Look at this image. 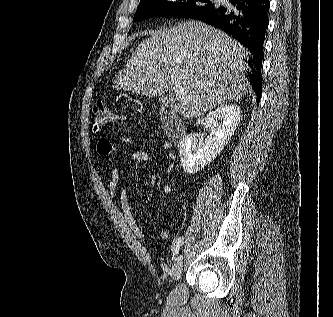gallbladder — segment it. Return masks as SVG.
I'll return each mask as SVG.
<instances>
[{
    "label": "gallbladder",
    "mask_w": 333,
    "mask_h": 317,
    "mask_svg": "<svg viewBox=\"0 0 333 317\" xmlns=\"http://www.w3.org/2000/svg\"><path fill=\"white\" fill-rule=\"evenodd\" d=\"M159 101L164 107H168L171 104V98L168 96L160 97Z\"/></svg>",
    "instance_id": "1"
}]
</instances>
